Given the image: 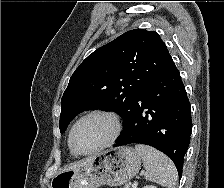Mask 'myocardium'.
<instances>
[{
    "label": "myocardium",
    "mask_w": 224,
    "mask_h": 188,
    "mask_svg": "<svg viewBox=\"0 0 224 188\" xmlns=\"http://www.w3.org/2000/svg\"><path fill=\"white\" fill-rule=\"evenodd\" d=\"M95 115H101V116H105L108 119H110V121L112 122L113 125V132L111 134V136L100 146L90 150V151H86V152H81L79 151L74 144V137H75V133L76 130L78 128V126L87 118L91 117V116H95ZM122 131V122L120 117L112 111L109 110H105V109H94L91 110L89 112H87L86 114H84L83 116H81L73 125L71 132H70V136H69V146L71 151L75 154V155H80V156H86V155H91L94 153H97L109 146H111L119 137V135L121 134Z\"/></svg>",
    "instance_id": "myocardium-1"
}]
</instances>
